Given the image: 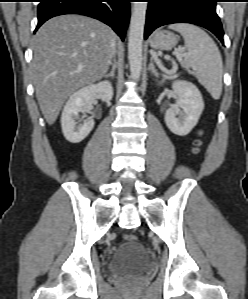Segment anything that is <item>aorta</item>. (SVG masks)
<instances>
[{
	"label": "aorta",
	"mask_w": 248,
	"mask_h": 299,
	"mask_svg": "<svg viewBox=\"0 0 248 299\" xmlns=\"http://www.w3.org/2000/svg\"><path fill=\"white\" fill-rule=\"evenodd\" d=\"M147 2H134L128 35V60L131 77L139 79L142 71V47Z\"/></svg>",
	"instance_id": "1"
}]
</instances>
